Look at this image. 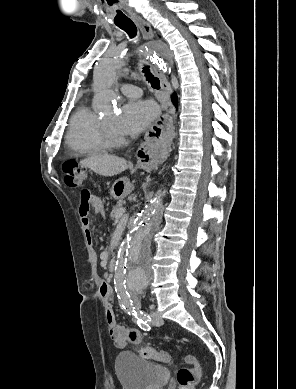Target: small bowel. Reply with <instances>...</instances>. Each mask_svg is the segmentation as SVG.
<instances>
[{"label":"small bowel","mask_w":296,"mask_h":389,"mask_svg":"<svg viewBox=\"0 0 296 389\" xmlns=\"http://www.w3.org/2000/svg\"><path fill=\"white\" fill-rule=\"evenodd\" d=\"M94 209L97 213H104V203L101 198L92 195L89 191L83 190L79 203V216L85 228L87 240L92 242V234L89 230V214ZM100 297L105 306V319L108 326L110 338L114 344L123 348L128 344H138L142 339V334L137 328H127L120 325L115 318L112 308L113 290L109 283L101 282L99 286Z\"/></svg>","instance_id":"1"}]
</instances>
